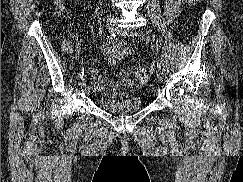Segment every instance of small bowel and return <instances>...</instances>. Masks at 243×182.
Listing matches in <instances>:
<instances>
[{
    "mask_svg": "<svg viewBox=\"0 0 243 182\" xmlns=\"http://www.w3.org/2000/svg\"><path fill=\"white\" fill-rule=\"evenodd\" d=\"M181 0H165L164 11L168 22H171L179 13ZM132 47L118 40L107 42L102 47V52L106 57L109 65H116L125 56L131 54ZM90 79L93 87L96 90L103 92H113L119 95L123 90H131L133 83L129 78V73L126 70H120L118 79L115 82H105L101 71L97 67H92L89 70Z\"/></svg>",
    "mask_w": 243,
    "mask_h": 182,
    "instance_id": "c3829d8e",
    "label": "small bowel"
}]
</instances>
